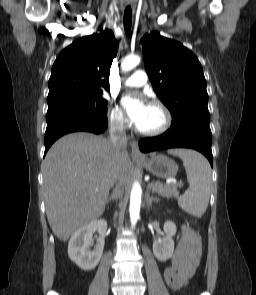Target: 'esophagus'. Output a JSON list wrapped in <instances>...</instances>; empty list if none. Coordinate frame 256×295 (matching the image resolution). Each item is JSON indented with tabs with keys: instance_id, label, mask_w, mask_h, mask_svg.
<instances>
[{
	"instance_id": "34e87169",
	"label": "esophagus",
	"mask_w": 256,
	"mask_h": 295,
	"mask_svg": "<svg viewBox=\"0 0 256 295\" xmlns=\"http://www.w3.org/2000/svg\"><path fill=\"white\" fill-rule=\"evenodd\" d=\"M127 4L129 5L130 3L127 2ZM131 154L133 157L143 158V155L141 154L139 150L138 143L136 142V140H132L131 142Z\"/></svg>"
}]
</instances>
